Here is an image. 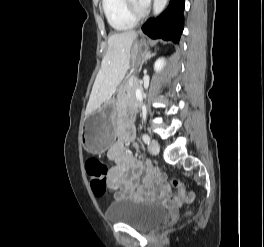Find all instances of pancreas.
Listing matches in <instances>:
<instances>
[{
	"label": "pancreas",
	"instance_id": "pancreas-1",
	"mask_svg": "<svg viewBox=\"0 0 264 247\" xmlns=\"http://www.w3.org/2000/svg\"><path fill=\"white\" fill-rule=\"evenodd\" d=\"M138 80L135 76L129 77L124 83L121 100L126 102H136L135 90L138 87Z\"/></svg>",
	"mask_w": 264,
	"mask_h": 247
}]
</instances>
